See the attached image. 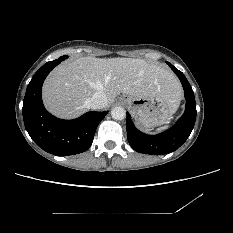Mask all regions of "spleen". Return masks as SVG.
<instances>
[{"mask_svg":"<svg viewBox=\"0 0 233 233\" xmlns=\"http://www.w3.org/2000/svg\"><path fill=\"white\" fill-rule=\"evenodd\" d=\"M167 128H168V125L163 126V127H160V128H158L156 131H157V132H161V131H163V130H165V129H167Z\"/></svg>","mask_w":233,"mask_h":233,"instance_id":"spleen-1","label":"spleen"}]
</instances>
